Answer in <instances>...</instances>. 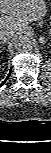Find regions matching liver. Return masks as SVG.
<instances>
[{"label": "liver", "mask_w": 51, "mask_h": 153, "mask_svg": "<svg viewBox=\"0 0 51 153\" xmlns=\"http://www.w3.org/2000/svg\"><path fill=\"white\" fill-rule=\"evenodd\" d=\"M0 31L20 32L29 23L43 19L47 12L45 0H0Z\"/></svg>", "instance_id": "1"}]
</instances>
